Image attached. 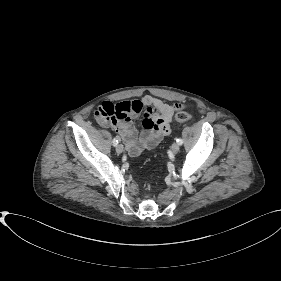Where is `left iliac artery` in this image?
Masks as SVG:
<instances>
[{
  "instance_id": "left-iliac-artery-1",
  "label": "left iliac artery",
  "mask_w": 281,
  "mask_h": 281,
  "mask_svg": "<svg viewBox=\"0 0 281 281\" xmlns=\"http://www.w3.org/2000/svg\"><path fill=\"white\" fill-rule=\"evenodd\" d=\"M176 142H177L179 145H182L183 140H182L181 138H178V139L176 140Z\"/></svg>"
}]
</instances>
